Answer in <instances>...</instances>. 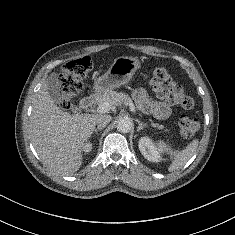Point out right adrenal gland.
Wrapping results in <instances>:
<instances>
[{
    "instance_id": "1",
    "label": "right adrenal gland",
    "mask_w": 235,
    "mask_h": 235,
    "mask_svg": "<svg viewBox=\"0 0 235 235\" xmlns=\"http://www.w3.org/2000/svg\"><path fill=\"white\" fill-rule=\"evenodd\" d=\"M102 129H104V127H97L94 131L95 133H98V131H101Z\"/></svg>"
}]
</instances>
